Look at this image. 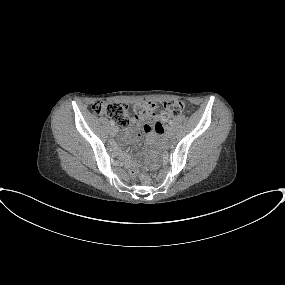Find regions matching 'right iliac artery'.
<instances>
[{
	"label": "right iliac artery",
	"instance_id": "right-iliac-artery-1",
	"mask_svg": "<svg viewBox=\"0 0 285 285\" xmlns=\"http://www.w3.org/2000/svg\"><path fill=\"white\" fill-rule=\"evenodd\" d=\"M110 125H111V126H114L115 123L111 120V121H110Z\"/></svg>",
	"mask_w": 285,
	"mask_h": 285
}]
</instances>
